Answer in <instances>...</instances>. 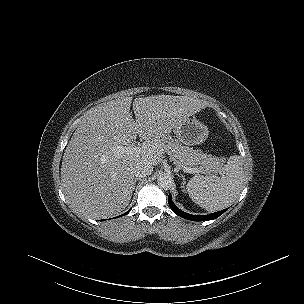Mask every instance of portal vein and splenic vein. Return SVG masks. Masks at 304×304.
<instances>
[{
    "instance_id": "obj_1",
    "label": "portal vein and splenic vein",
    "mask_w": 304,
    "mask_h": 304,
    "mask_svg": "<svg viewBox=\"0 0 304 304\" xmlns=\"http://www.w3.org/2000/svg\"><path fill=\"white\" fill-rule=\"evenodd\" d=\"M139 149L137 146L133 145H128V146H117L114 148V151L120 152V153H125V152H132ZM185 173H199L201 172L200 170H197L195 168H190V167H185L183 169Z\"/></svg>"
}]
</instances>
